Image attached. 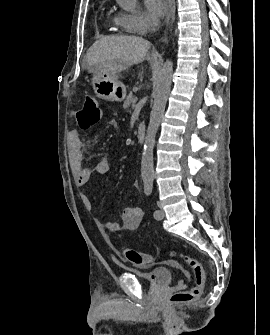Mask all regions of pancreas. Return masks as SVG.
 <instances>
[{"label": "pancreas", "instance_id": "pancreas-1", "mask_svg": "<svg viewBox=\"0 0 270 335\" xmlns=\"http://www.w3.org/2000/svg\"><path fill=\"white\" fill-rule=\"evenodd\" d=\"M136 100L134 99V96L132 94H129V96H126V100L123 104L124 110H127L129 108L130 104H135Z\"/></svg>", "mask_w": 270, "mask_h": 335}]
</instances>
